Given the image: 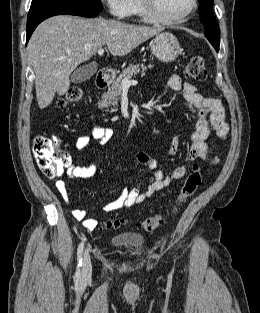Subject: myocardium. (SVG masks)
<instances>
[{
    "instance_id": "obj_1",
    "label": "myocardium",
    "mask_w": 260,
    "mask_h": 313,
    "mask_svg": "<svg viewBox=\"0 0 260 313\" xmlns=\"http://www.w3.org/2000/svg\"><path fill=\"white\" fill-rule=\"evenodd\" d=\"M139 3L143 13L150 21L164 25H173L184 22L197 10L198 7V0H191L190 8L185 13L175 18H165L158 13L156 0H139Z\"/></svg>"
}]
</instances>
